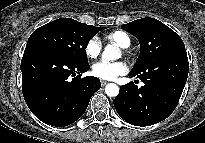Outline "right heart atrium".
I'll use <instances>...</instances> for the list:
<instances>
[{
    "label": "right heart atrium",
    "instance_id": "obj_1",
    "mask_svg": "<svg viewBox=\"0 0 205 143\" xmlns=\"http://www.w3.org/2000/svg\"><path fill=\"white\" fill-rule=\"evenodd\" d=\"M102 50V42L97 36H92L85 44L84 52L90 59L97 58Z\"/></svg>",
    "mask_w": 205,
    "mask_h": 143
}]
</instances>
